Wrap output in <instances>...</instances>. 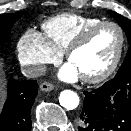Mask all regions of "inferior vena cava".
Wrapping results in <instances>:
<instances>
[{
  "label": "inferior vena cava",
  "instance_id": "1",
  "mask_svg": "<svg viewBox=\"0 0 131 131\" xmlns=\"http://www.w3.org/2000/svg\"><path fill=\"white\" fill-rule=\"evenodd\" d=\"M21 71L22 74L28 78H37L45 73L46 67L40 65H28L23 67Z\"/></svg>",
  "mask_w": 131,
  "mask_h": 131
}]
</instances>
